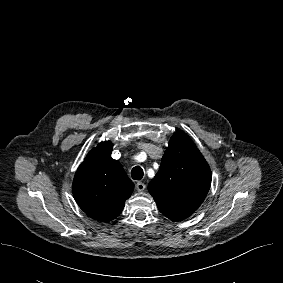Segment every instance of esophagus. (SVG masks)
Returning a JSON list of instances; mask_svg holds the SVG:
<instances>
[{"label":"esophagus","instance_id":"esophagus-1","mask_svg":"<svg viewBox=\"0 0 283 283\" xmlns=\"http://www.w3.org/2000/svg\"><path fill=\"white\" fill-rule=\"evenodd\" d=\"M136 189L138 192H142L146 189V185L143 182H137Z\"/></svg>","mask_w":283,"mask_h":283}]
</instances>
